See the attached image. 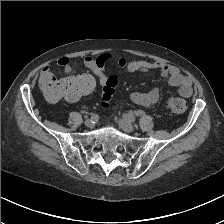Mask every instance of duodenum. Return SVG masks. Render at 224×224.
I'll return each mask as SVG.
<instances>
[{
    "instance_id": "410a0bca",
    "label": "duodenum",
    "mask_w": 224,
    "mask_h": 224,
    "mask_svg": "<svg viewBox=\"0 0 224 224\" xmlns=\"http://www.w3.org/2000/svg\"><path fill=\"white\" fill-rule=\"evenodd\" d=\"M52 86H56V83H53Z\"/></svg>"
}]
</instances>
